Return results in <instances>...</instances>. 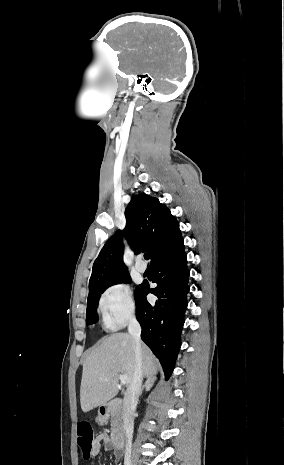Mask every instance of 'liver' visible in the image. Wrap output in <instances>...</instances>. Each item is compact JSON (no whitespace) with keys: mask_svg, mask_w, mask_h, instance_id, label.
<instances>
[{"mask_svg":"<svg viewBox=\"0 0 284 465\" xmlns=\"http://www.w3.org/2000/svg\"><path fill=\"white\" fill-rule=\"evenodd\" d=\"M135 341L131 335L116 333L104 337L101 345L86 357L80 387L83 413L105 407L118 393L119 375H126L127 387L134 377ZM142 375H156L158 365L150 349L141 343Z\"/></svg>","mask_w":284,"mask_h":465,"instance_id":"liver-1","label":"liver"}]
</instances>
